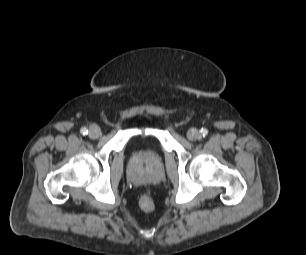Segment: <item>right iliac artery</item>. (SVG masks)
I'll return each mask as SVG.
<instances>
[{
  "instance_id": "82829eb1",
  "label": "right iliac artery",
  "mask_w": 306,
  "mask_h": 255,
  "mask_svg": "<svg viewBox=\"0 0 306 255\" xmlns=\"http://www.w3.org/2000/svg\"><path fill=\"white\" fill-rule=\"evenodd\" d=\"M80 132H81V134H83V135H87V134H88V129L85 128V127H83V128H81Z\"/></svg>"
}]
</instances>
